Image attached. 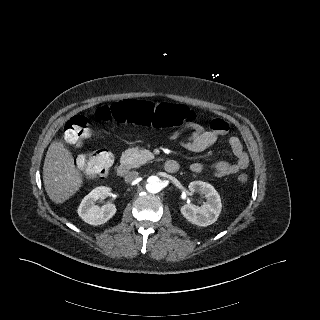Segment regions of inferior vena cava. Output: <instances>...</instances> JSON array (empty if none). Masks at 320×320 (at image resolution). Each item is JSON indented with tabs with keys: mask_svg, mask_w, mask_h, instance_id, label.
Returning <instances> with one entry per match:
<instances>
[{
	"mask_svg": "<svg viewBox=\"0 0 320 320\" xmlns=\"http://www.w3.org/2000/svg\"><path fill=\"white\" fill-rule=\"evenodd\" d=\"M137 177H138L137 171L128 172L127 175L125 176V182L130 183V182L134 181Z\"/></svg>",
	"mask_w": 320,
	"mask_h": 320,
	"instance_id": "obj_1",
	"label": "inferior vena cava"
}]
</instances>
